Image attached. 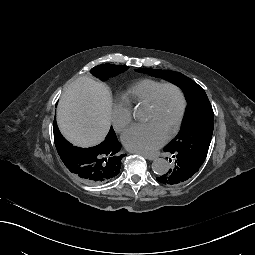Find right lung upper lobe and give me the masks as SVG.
<instances>
[{
	"label": "right lung upper lobe",
	"instance_id": "right-lung-upper-lobe-1",
	"mask_svg": "<svg viewBox=\"0 0 255 255\" xmlns=\"http://www.w3.org/2000/svg\"><path fill=\"white\" fill-rule=\"evenodd\" d=\"M53 131L56 149L61 160L81 181L87 184H104L117 177L120 171L121 160L125 154H121V144L118 142L112 128L101 144L90 148H79L69 143L61 135L55 119ZM81 150H88L90 153L98 152L100 154V175L98 177H85L81 173V167L79 164V152Z\"/></svg>",
	"mask_w": 255,
	"mask_h": 255
}]
</instances>
